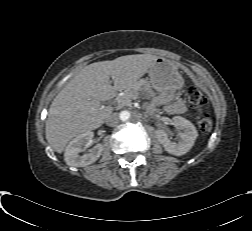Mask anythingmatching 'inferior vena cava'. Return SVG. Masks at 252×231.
Masks as SVG:
<instances>
[{"label": "inferior vena cava", "mask_w": 252, "mask_h": 231, "mask_svg": "<svg viewBox=\"0 0 252 231\" xmlns=\"http://www.w3.org/2000/svg\"><path fill=\"white\" fill-rule=\"evenodd\" d=\"M119 116H118V114L117 113H112V114H110L107 118H106V120H105V122H106V124L108 125V126H111V127H114V126H116L118 123H119Z\"/></svg>", "instance_id": "1"}]
</instances>
